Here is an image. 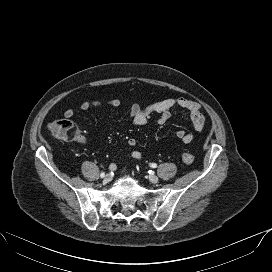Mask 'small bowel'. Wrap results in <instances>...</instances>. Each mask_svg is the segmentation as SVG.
<instances>
[{"label":"small bowel","mask_w":272,"mask_h":272,"mask_svg":"<svg viewBox=\"0 0 272 272\" xmlns=\"http://www.w3.org/2000/svg\"><path fill=\"white\" fill-rule=\"evenodd\" d=\"M120 104V100L113 98L107 101L86 100L83 101L79 107L81 110L86 111L91 108H102L104 106L118 108ZM174 108L182 109L188 113L192 126L196 131H202L204 129L205 117L201 112L200 104L196 101L182 97L164 99L161 101L149 103L147 105L131 103L129 105L130 121L135 126H142L147 123L148 119L152 115L159 114L157 122L158 124L163 125L169 120L171 114L170 112ZM74 115L75 111L73 109H66L63 113L65 118H72ZM176 136L181 142L185 144H189L193 141V134L186 132L185 130L177 131ZM127 145L129 148L130 156L135 160H141L142 155L136 149V141L134 139H130ZM110 168L114 170L116 168V164L112 163Z\"/></svg>","instance_id":"obj_1"}]
</instances>
